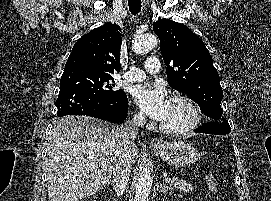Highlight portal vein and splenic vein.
Here are the masks:
<instances>
[{
	"label": "portal vein and splenic vein",
	"mask_w": 271,
	"mask_h": 201,
	"mask_svg": "<svg viewBox=\"0 0 271 201\" xmlns=\"http://www.w3.org/2000/svg\"><path fill=\"white\" fill-rule=\"evenodd\" d=\"M164 181H165L166 183H169V182L171 181V178H165Z\"/></svg>",
	"instance_id": "1"
}]
</instances>
